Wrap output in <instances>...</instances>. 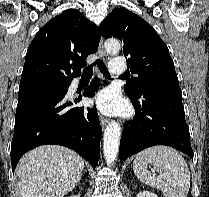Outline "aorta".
Wrapping results in <instances>:
<instances>
[{
	"instance_id": "1",
	"label": "aorta",
	"mask_w": 209,
	"mask_h": 197,
	"mask_svg": "<svg viewBox=\"0 0 209 197\" xmlns=\"http://www.w3.org/2000/svg\"><path fill=\"white\" fill-rule=\"evenodd\" d=\"M121 48L117 39H108L105 42V49L108 53L116 54ZM121 137V126L118 122H110L103 135V153L108 164H113L118 156L119 143Z\"/></svg>"
}]
</instances>
